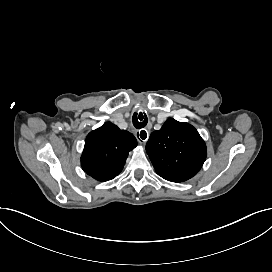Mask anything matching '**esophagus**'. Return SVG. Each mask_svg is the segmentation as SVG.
<instances>
[{"label": "esophagus", "mask_w": 272, "mask_h": 272, "mask_svg": "<svg viewBox=\"0 0 272 272\" xmlns=\"http://www.w3.org/2000/svg\"><path fill=\"white\" fill-rule=\"evenodd\" d=\"M137 133H138V140H139V142L140 143L146 142V140H147V134L144 133V132H142V131H138Z\"/></svg>", "instance_id": "obj_1"}]
</instances>
